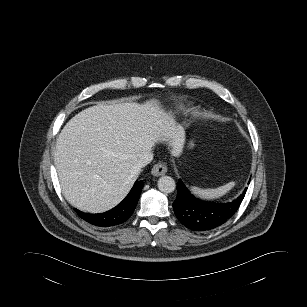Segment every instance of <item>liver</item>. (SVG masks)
Here are the masks:
<instances>
[{"mask_svg": "<svg viewBox=\"0 0 307 307\" xmlns=\"http://www.w3.org/2000/svg\"><path fill=\"white\" fill-rule=\"evenodd\" d=\"M158 141L178 154L184 131L156 101L89 107L62 129L54 163L66 200L81 211L102 213L128 194L141 156Z\"/></svg>", "mask_w": 307, "mask_h": 307, "instance_id": "6515ba94", "label": "liver"}]
</instances>
